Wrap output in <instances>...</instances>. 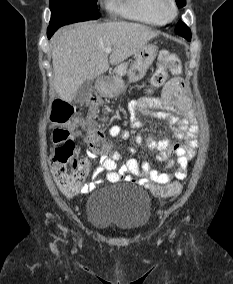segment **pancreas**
<instances>
[{
    "label": "pancreas",
    "instance_id": "1",
    "mask_svg": "<svg viewBox=\"0 0 233 284\" xmlns=\"http://www.w3.org/2000/svg\"><path fill=\"white\" fill-rule=\"evenodd\" d=\"M126 69H127V64H121L119 67H117L116 71L118 74L120 75H124L126 73Z\"/></svg>",
    "mask_w": 233,
    "mask_h": 284
}]
</instances>
